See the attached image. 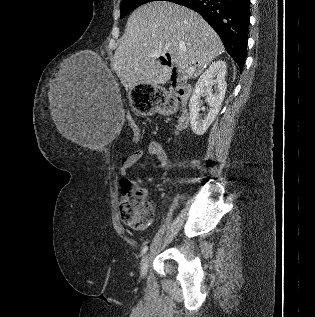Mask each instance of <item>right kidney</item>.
Returning a JSON list of instances; mask_svg holds the SVG:
<instances>
[{
  "mask_svg": "<svg viewBox=\"0 0 315 317\" xmlns=\"http://www.w3.org/2000/svg\"><path fill=\"white\" fill-rule=\"evenodd\" d=\"M225 78L226 63L218 60L213 62L198 79L189 101L191 129L196 135H203L218 115L227 88ZM213 85H216L214 94L212 93ZM203 94L206 96L210 110L204 119H201L199 115L200 98Z\"/></svg>",
  "mask_w": 315,
  "mask_h": 317,
  "instance_id": "ca27d5eb",
  "label": "right kidney"
}]
</instances>
